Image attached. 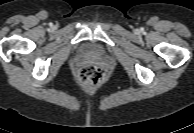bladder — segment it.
I'll return each instance as SVG.
<instances>
[{
	"mask_svg": "<svg viewBox=\"0 0 194 133\" xmlns=\"http://www.w3.org/2000/svg\"><path fill=\"white\" fill-rule=\"evenodd\" d=\"M80 52L88 56H101L104 53V49L97 42L86 41L81 44Z\"/></svg>",
	"mask_w": 194,
	"mask_h": 133,
	"instance_id": "31cf9c89",
	"label": "bladder"
}]
</instances>
